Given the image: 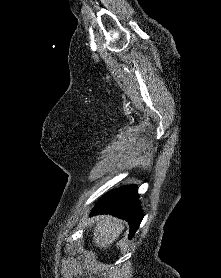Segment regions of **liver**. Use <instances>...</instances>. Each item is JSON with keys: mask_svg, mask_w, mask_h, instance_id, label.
Here are the masks:
<instances>
[{"mask_svg": "<svg viewBox=\"0 0 221 278\" xmlns=\"http://www.w3.org/2000/svg\"><path fill=\"white\" fill-rule=\"evenodd\" d=\"M124 229L122 222L110 215L96 217L93 242L100 249H107L119 237Z\"/></svg>", "mask_w": 221, "mask_h": 278, "instance_id": "1", "label": "liver"}]
</instances>
